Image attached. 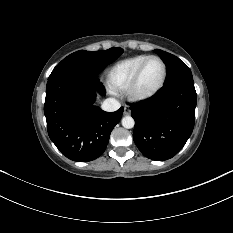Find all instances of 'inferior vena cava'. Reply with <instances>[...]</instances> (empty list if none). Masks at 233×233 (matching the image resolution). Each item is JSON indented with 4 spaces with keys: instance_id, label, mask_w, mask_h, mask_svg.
Listing matches in <instances>:
<instances>
[{
    "instance_id": "1",
    "label": "inferior vena cava",
    "mask_w": 233,
    "mask_h": 233,
    "mask_svg": "<svg viewBox=\"0 0 233 233\" xmlns=\"http://www.w3.org/2000/svg\"><path fill=\"white\" fill-rule=\"evenodd\" d=\"M121 107V104L114 98H107L104 100L102 103V110L107 111V112H114L118 110Z\"/></svg>"
}]
</instances>
